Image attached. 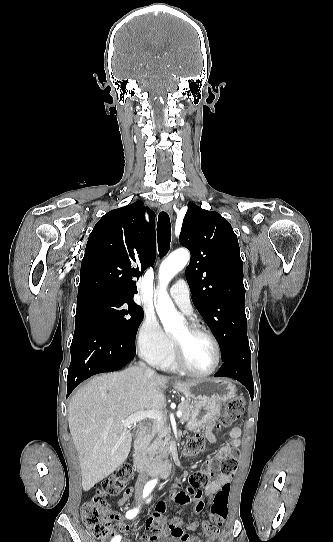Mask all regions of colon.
I'll return each instance as SVG.
<instances>
[{"label": "colon", "mask_w": 333, "mask_h": 542, "mask_svg": "<svg viewBox=\"0 0 333 542\" xmlns=\"http://www.w3.org/2000/svg\"><path fill=\"white\" fill-rule=\"evenodd\" d=\"M245 407V401L241 396H235L230 400L226 406L223 415L216 423V429L218 431L228 429L232 424L239 419L242 415ZM205 448L204 436L202 434H195L190 437L184 444L183 454L185 457H195L200 455ZM238 463L233 458H223L220 461L219 469H215L212 475L220 472L225 475L233 476L237 471ZM133 474V467L128 464L120 465L110 475L103 479L101 483V491H99L91 500L85 501L82 505L81 515L89 532L97 539L107 537L113 532V527L110 525L115 517L108 511V504L105 499L107 496H116L119 494L120 489L130 480ZM210 475L203 470L194 472L190 477L191 487L199 490L206 486L210 482ZM230 485H224L214 495L212 502L209 504L210 519L203 525L205 534L214 538L217 537L221 531V527L228 515V501H229ZM196 497L201 498L199 491H196ZM200 505L204 507V502L200 501ZM156 509L159 512H155L148 517L145 523V529L149 533H155L158 539H164L166 534H171L176 539H187L188 536L184 532L181 526L177 525L183 520L177 516L170 518L169 525L163 514L168 509V502L166 500H158L156 502ZM199 505L193 507L192 512L194 515L199 516L202 514L203 509Z\"/></svg>", "instance_id": "1"}]
</instances>
